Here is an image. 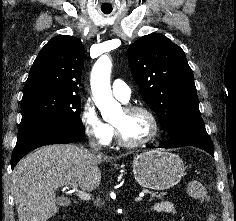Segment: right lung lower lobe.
Returning <instances> with one entry per match:
<instances>
[{
	"instance_id": "98d812e1",
	"label": "right lung lower lobe",
	"mask_w": 236,
	"mask_h": 221,
	"mask_svg": "<svg viewBox=\"0 0 236 221\" xmlns=\"http://www.w3.org/2000/svg\"><path fill=\"white\" fill-rule=\"evenodd\" d=\"M84 136V129L65 124L37 121L20 127L17 143L11 157L12 169L30 151L48 144L73 143Z\"/></svg>"
}]
</instances>
